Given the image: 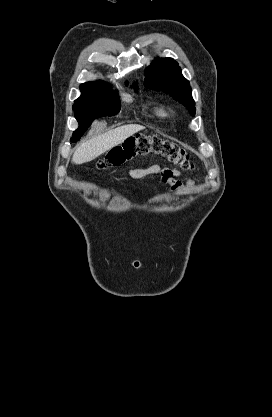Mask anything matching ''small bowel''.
I'll return each instance as SVG.
<instances>
[{"label": "small bowel", "instance_id": "small-bowel-1", "mask_svg": "<svg viewBox=\"0 0 272 417\" xmlns=\"http://www.w3.org/2000/svg\"><path fill=\"white\" fill-rule=\"evenodd\" d=\"M153 175H160L161 179L165 183H170L173 191L179 193L182 189L183 183L177 178L181 176V172L173 168H163L158 164H153L145 168H131L129 170V176L132 179H143L148 176ZM186 184L189 187H195L196 183L191 180L187 179Z\"/></svg>", "mask_w": 272, "mask_h": 417}]
</instances>
